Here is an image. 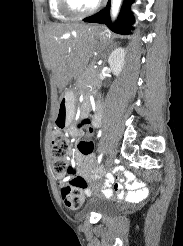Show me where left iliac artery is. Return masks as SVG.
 Instances as JSON below:
<instances>
[{
    "label": "left iliac artery",
    "instance_id": "1",
    "mask_svg": "<svg viewBox=\"0 0 183 246\" xmlns=\"http://www.w3.org/2000/svg\"><path fill=\"white\" fill-rule=\"evenodd\" d=\"M102 157H103V153H102V154H100V155L98 156V163H100V162H101Z\"/></svg>",
    "mask_w": 183,
    "mask_h": 246
}]
</instances>
